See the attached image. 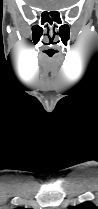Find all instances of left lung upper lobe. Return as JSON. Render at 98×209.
I'll return each instance as SVG.
<instances>
[{
  "instance_id": "1",
  "label": "left lung upper lobe",
  "mask_w": 98,
  "mask_h": 209,
  "mask_svg": "<svg viewBox=\"0 0 98 209\" xmlns=\"http://www.w3.org/2000/svg\"><path fill=\"white\" fill-rule=\"evenodd\" d=\"M68 209H97V207L91 202H84L77 206H69Z\"/></svg>"
}]
</instances>
